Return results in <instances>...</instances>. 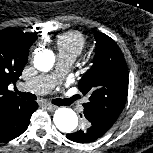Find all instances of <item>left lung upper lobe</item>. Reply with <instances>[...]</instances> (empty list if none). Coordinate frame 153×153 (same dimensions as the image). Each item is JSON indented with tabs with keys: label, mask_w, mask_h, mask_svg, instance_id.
<instances>
[{
	"label": "left lung upper lobe",
	"mask_w": 153,
	"mask_h": 153,
	"mask_svg": "<svg viewBox=\"0 0 153 153\" xmlns=\"http://www.w3.org/2000/svg\"><path fill=\"white\" fill-rule=\"evenodd\" d=\"M96 54L91 69L78 87L89 100L83 103L89 127L105 134L121 114L128 95V69L124 56L113 39L95 34ZM82 116V115H81Z\"/></svg>",
	"instance_id": "left-lung-upper-lobe-1"
}]
</instances>
